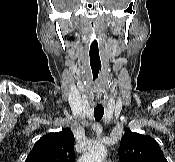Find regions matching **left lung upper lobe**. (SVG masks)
<instances>
[{
    "instance_id": "obj_1",
    "label": "left lung upper lobe",
    "mask_w": 175,
    "mask_h": 162,
    "mask_svg": "<svg viewBox=\"0 0 175 162\" xmlns=\"http://www.w3.org/2000/svg\"><path fill=\"white\" fill-rule=\"evenodd\" d=\"M121 162H167L159 144L150 136L126 130L118 149Z\"/></svg>"
}]
</instances>
